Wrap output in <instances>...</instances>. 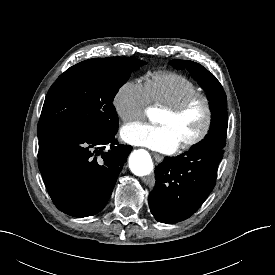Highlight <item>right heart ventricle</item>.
Masks as SVG:
<instances>
[{
    "mask_svg": "<svg viewBox=\"0 0 275 275\" xmlns=\"http://www.w3.org/2000/svg\"><path fill=\"white\" fill-rule=\"evenodd\" d=\"M150 102L159 106L172 105L185 96L199 91L198 86L184 75L174 72H156L144 83Z\"/></svg>",
    "mask_w": 275,
    "mask_h": 275,
    "instance_id": "obj_1",
    "label": "right heart ventricle"
}]
</instances>
